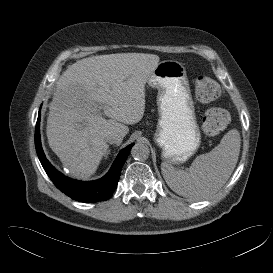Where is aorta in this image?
Masks as SVG:
<instances>
[{
  "label": "aorta",
  "instance_id": "aorta-1",
  "mask_svg": "<svg viewBox=\"0 0 273 273\" xmlns=\"http://www.w3.org/2000/svg\"><path fill=\"white\" fill-rule=\"evenodd\" d=\"M131 155L136 160H146L150 155V149L143 143H136L131 149Z\"/></svg>",
  "mask_w": 273,
  "mask_h": 273
}]
</instances>
